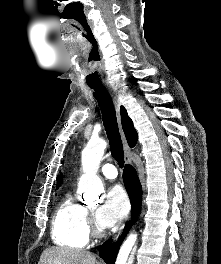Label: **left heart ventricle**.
Returning <instances> with one entry per match:
<instances>
[{"label":"left heart ventricle","mask_w":221,"mask_h":264,"mask_svg":"<svg viewBox=\"0 0 221 264\" xmlns=\"http://www.w3.org/2000/svg\"><path fill=\"white\" fill-rule=\"evenodd\" d=\"M91 209H92V210H94L95 208H94V207H92Z\"/></svg>","instance_id":"b2bd125f"}]
</instances>
